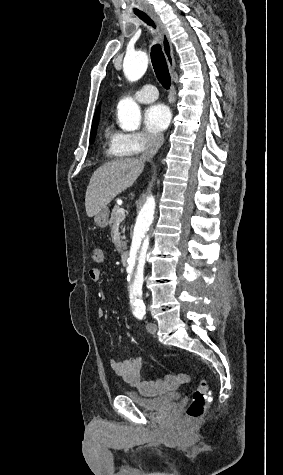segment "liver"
Returning <instances> with one entry per match:
<instances>
[{"label": "liver", "instance_id": "6515ba94", "mask_svg": "<svg viewBox=\"0 0 283 475\" xmlns=\"http://www.w3.org/2000/svg\"><path fill=\"white\" fill-rule=\"evenodd\" d=\"M143 170L144 160L137 158H119L100 166L86 190L85 208L88 218L99 214L113 198L130 188Z\"/></svg>", "mask_w": 283, "mask_h": 475}]
</instances>
